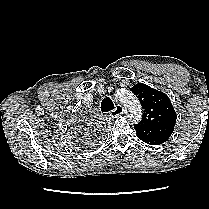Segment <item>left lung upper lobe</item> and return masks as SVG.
I'll return each mask as SVG.
<instances>
[{
	"label": "left lung upper lobe",
	"instance_id": "1",
	"mask_svg": "<svg viewBox=\"0 0 209 209\" xmlns=\"http://www.w3.org/2000/svg\"><path fill=\"white\" fill-rule=\"evenodd\" d=\"M130 90L140 99L144 110L142 120L134 126L137 136L167 141L177 118L167 95L143 83L134 85Z\"/></svg>",
	"mask_w": 209,
	"mask_h": 209
}]
</instances>
